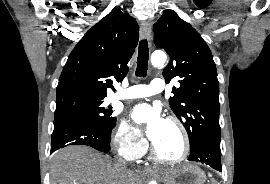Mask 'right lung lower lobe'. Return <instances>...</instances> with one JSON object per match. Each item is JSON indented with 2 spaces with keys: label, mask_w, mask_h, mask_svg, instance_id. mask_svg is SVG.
Segmentation results:
<instances>
[{
  "label": "right lung lower lobe",
  "mask_w": 270,
  "mask_h": 184,
  "mask_svg": "<svg viewBox=\"0 0 270 184\" xmlns=\"http://www.w3.org/2000/svg\"><path fill=\"white\" fill-rule=\"evenodd\" d=\"M111 133L103 131L85 118L62 115L54 119L51 151L68 145H87L101 152L110 151Z\"/></svg>",
  "instance_id": "right-lung-lower-lobe-1"
}]
</instances>
